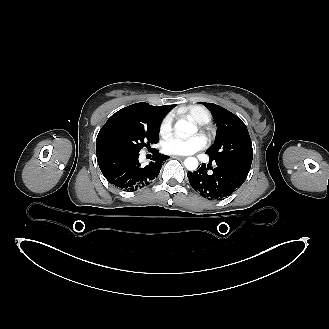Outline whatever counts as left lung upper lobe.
Masks as SVG:
<instances>
[{"label": "left lung upper lobe", "instance_id": "left-lung-upper-lobe-1", "mask_svg": "<svg viewBox=\"0 0 329 329\" xmlns=\"http://www.w3.org/2000/svg\"><path fill=\"white\" fill-rule=\"evenodd\" d=\"M200 103L210 110L218 124L216 141L206 151L210 160L225 161L250 170L253 148L246 125L238 116L219 105Z\"/></svg>", "mask_w": 329, "mask_h": 329}]
</instances>
